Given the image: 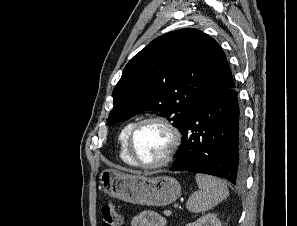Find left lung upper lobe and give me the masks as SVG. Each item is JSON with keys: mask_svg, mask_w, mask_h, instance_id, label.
Segmentation results:
<instances>
[{"mask_svg": "<svg viewBox=\"0 0 297 226\" xmlns=\"http://www.w3.org/2000/svg\"><path fill=\"white\" fill-rule=\"evenodd\" d=\"M235 87L225 53L197 29H181L154 39L126 65L113 90L110 124L140 111H157L179 130L210 90Z\"/></svg>", "mask_w": 297, "mask_h": 226, "instance_id": "1", "label": "left lung upper lobe"}]
</instances>
